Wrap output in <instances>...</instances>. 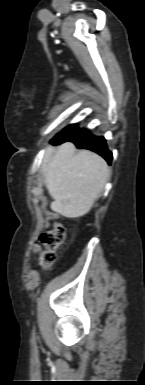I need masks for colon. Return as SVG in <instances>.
I'll return each mask as SVG.
<instances>
[{"mask_svg":"<svg viewBox=\"0 0 145 385\" xmlns=\"http://www.w3.org/2000/svg\"><path fill=\"white\" fill-rule=\"evenodd\" d=\"M65 229L61 224H55L50 230L40 236L36 252L39 256L40 265L49 268L56 259V251L63 244Z\"/></svg>","mask_w":145,"mask_h":385,"instance_id":"1","label":"colon"}]
</instances>
